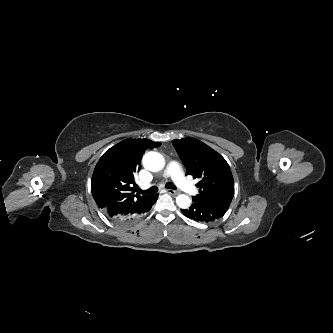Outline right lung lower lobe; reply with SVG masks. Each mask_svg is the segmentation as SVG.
<instances>
[{
    "mask_svg": "<svg viewBox=\"0 0 333 333\" xmlns=\"http://www.w3.org/2000/svg\"><path fill=\"white\" fill-rule=\"evenodd\" d=\"M158 194L149 195L144 200L134 202L131 205L125 203L113 204L102 209L105 215L115 223L129 224L139 220L147 213L156 202Z\"/></svg>",
    "mask_w": 333,
    "mask_h": 333,
    "instance_id": "obj_1",
    "label": "right lung lower lobe"
}]
</instances>
